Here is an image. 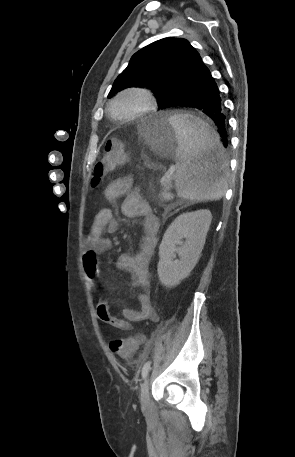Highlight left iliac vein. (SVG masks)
<instances>
[{"label": "left iliac vein", "instance_id": "4c4485c4", "mask_svg": "<svg viewBox=\"0 0 295 457\" xmlns=\"http://www.w3.org/2000/svg\"><path fill=\"white\" fill-rule=\"evenodd\" d=\"M140 402L143 407H146L149 403V379L147 378L142 386L140 392Z\"/></svg>", "mask_w": 295, "mask_h": 457}]
</instances>
